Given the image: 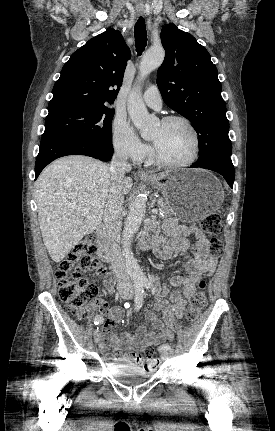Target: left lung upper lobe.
I'll return each instance as SVG.
<instances>
[{"label":"left lung upper lobe","instance_id":"left-lung-upper-lobe-1","mask_svg":"<svg viewBox=\"0 0 275 431\" xmlns=\"http://www.w3.org/2000/svg\"><path fill=\"white\" fill-rule=\"evenodd\" d=\"M161 41L166 54L157 85L164 102L193 124L199 138L198 162L230 158L226 105L210 54L174 24L162 28Z\"/></svg>","mask_w":275,"mask_h":431}]
</instances>
